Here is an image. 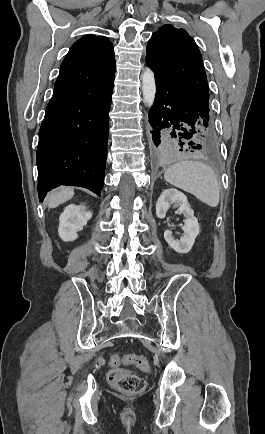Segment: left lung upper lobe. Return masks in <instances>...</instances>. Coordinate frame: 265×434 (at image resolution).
<instances>
[{
  "mask_svg": "<svg viewBox=\"0 0 265 434\" xmlns=\"http://www.w3.org/2000/svg\"><path fill=\"white\" fill-rule=\"evenodd\" d=\"M146 53V60L155 69L175 83L198 107L209 110V88L202 55L184 29L163 25L152 34Z\"/></svg>",
  "mask_w": 265,
  "mask_h": 434,
  "instance_id": "5c2ea615",
  "label": "left lung upper lobe"
}]
</instances>
